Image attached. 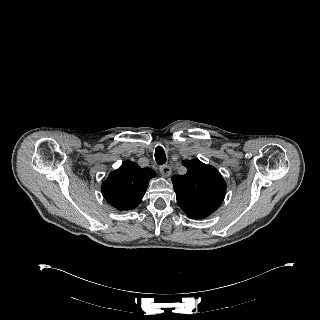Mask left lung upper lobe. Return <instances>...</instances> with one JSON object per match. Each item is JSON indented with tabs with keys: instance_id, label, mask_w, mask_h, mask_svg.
Returning a JSON list of instances; mask_svg holds the SVG:
<instances>
[{
	"instance_id": "left-lung-upper-lobe-1",
	"label": "left lung upper lobe",
	"mask_w": 320,
	"mask_h": 320,
	"mask_svg": "<svg viewBox=\"0 0 320 320\" xmlns=\"http://www.w3.org/2000/svg\"><path fill=\"white\" fill-rule=\"evenodd\" d=\"M182 164L187 173L172 177L177 202L188 217L204 219L223 202L226 183L215 167L197 159Z\"/></svg>"
}]
</instances>
